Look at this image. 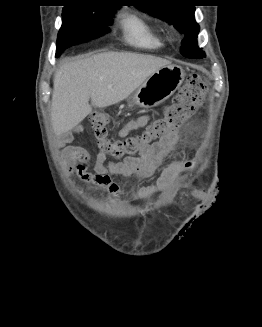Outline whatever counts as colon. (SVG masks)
<instances>
[{"label": "colon", "instance_id": "5ec220e1", "mask_svg": "<svg viewBox=\"0 0 262 327\" xmlns=\"http://www.w3.org/2000/svg\"><path fill=\"white\" fill-rule=\"evenodd\" d=\"M206 92V84L198 76H190L161 116L149 124L141 134L123 138L109 137L108 124L111 121L109 113L91 114L89 122L99 151L116 160L135 158L154 143L173 134L178 127L191 118L202 105Z\"/></svg>", "mask_w": 262, "mask_h": 327}]
</instances>
